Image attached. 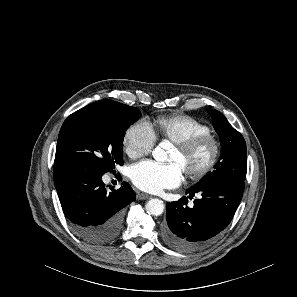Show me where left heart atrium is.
Segmentation results:
<instances>
[{
  "mask_svg": "<svg viewBox=\"0 0 297 297\" xmlns=\"http://www.w3.org/2000/svg\"><path fill=\"white\" fill-rule=\"evenodd\" d=\"M130 176L141 190L157 193L178 186L184 178V169L179 163L160 164L144 160L132 167Z\"/></svg>",
  "mask_w": 297,
  "mask_h": 297,
  "instance_id": "left-heart-atrium-1",
  "label": "left heart atrium"
}]
</instances>
